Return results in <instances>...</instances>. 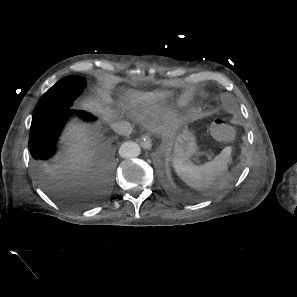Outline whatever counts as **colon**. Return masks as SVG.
I'll use <instances>...</instances> for the list:
<instances>
[{
	"instance_id": "1",
	"label": "colon",
	"mask_w": 297,
	"mask_h": 297,
	"mask_svg": "<svg viewBox=\"0 0 297 297\" xmlns=\"http://www.w3.org/2000/svg\"><path fill=\"white\" fill-rule=\"evenodd\" d=\"M232 128L230 125L225 123L224 121H218L216 122L212 127V134L217 138L221 140H227L230 138V132Z\"/></svg>"
}]
</instances>
